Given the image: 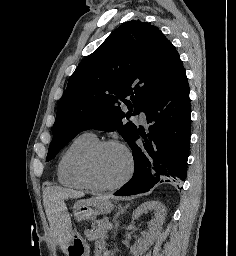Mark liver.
Instances as JSON below:
<instances>
[{"label": "liver", "instance_id": "obj_1", "mask_svg": "<svg viewBox=\"0 0 236 256\" xmlns=\"http://www.w3.org/2000/svg\"><path fill=\"white\" fill-rule=\"evenodd\" d=\"M83 192H75V190H68V188H56V186H50L45 188L43 192V202L46 212V216L50 222V226L54 224V214L57 208L58 200H68V198H82Z\"/></svg>", "mask_w": 236, "mask_h": 256}]
</instances>
